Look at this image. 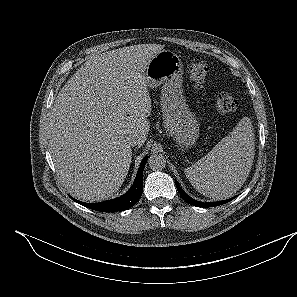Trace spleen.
<instances>
[{
    "label": "spleen",
    "mask_w": 297,
    "mask_h": 297,
    "mask_svg": "<svg viewBox=\"0 0 297 297\" xmlns=\"http://www.w3.org/2000/svg\"><path fill=\"white\" fill-rule=\"evenodd\" d=\"M255 135L248 117L194 165L184 170L192 186L203 195L226 199L246 181L255 155Z\"/></svg>",
    "instance_id": "1"
}]
</instances>
